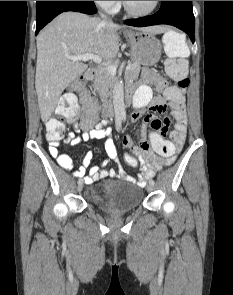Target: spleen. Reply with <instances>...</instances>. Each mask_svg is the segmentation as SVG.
I'll return each instance as SVG.
<instances>
[{"label":"spleen","mask_w":233,"mask_h":295,"mask_svg":"<svg viewBox=\"0 0 233 295\" xmlns=\"http://www.w3.org/2000/svg\"><path fill=\"white\" fill-rule=\"evenodd\" d=\"M164 50L169 57L190 55L188 46L174 32H168L163 37Z\"/></svg>","instance_id":"obj_1"}]
</instances>
